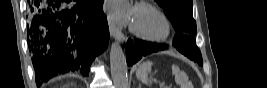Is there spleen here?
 <instances>
[{"label":"spleen","mask_w":267,"mask_h":88,"mask_svg":"<svg viewBox=\"0 0 267 88\" xmlns=\"http://www.w3.org/2000/svg\"><path fill=\"white\" fill-rule=\"evenodd\" d=\"M152 65V62L148 61L143 64H141L137 71H136V77L139 79L142 83L148 84V71L150 70V67ZM172 74L175 77V82L181 86V88H186L187 86V76L184 72H182L179 67L176 65L172 66Z\"/></svg>","instance_id":"obj_1"}]
</instances>
